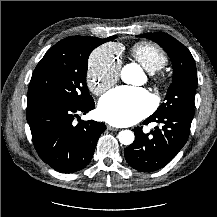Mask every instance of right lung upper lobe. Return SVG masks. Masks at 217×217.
Returning a JSON list of instances; mask_svg holds the SVG:
<instances>
[{
	"instance_id": "right-lung-upper-lobe-1",
	"label": "right lung upper lobe",
	"mask_w": 217,
	"mask_h": 217,
	"mask_svg": "<svg viewBox=\"0 0 217 217\" xmlns=\"http://www.w3.org/2000/svg\"><path fill=\"white\" fill-rule=\"evenodd\" d=\"M113 39H115L114 36L108 37L106 39H101V40L103 41V43H105V42L111 41Z\"/></svg>"
}]
</instances>
